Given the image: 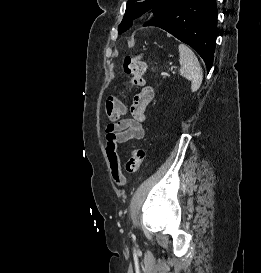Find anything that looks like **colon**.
Masks as SVG:
<instances>
[{
  "label": "colon",
  "mask_w": 261,
  "mask_h": 273,
  "mask_svg": "<svg viewBox=\"0 0 261 273\" xmlns=\"http://www.w3.org/2000/svg\"><path fill=\"white\" fill-rule=\"evenodd\" d=\"M123 70L129 76L126 86L128 88L138 87L144 83V74L146 64L141 55L127 56L123 61ZM125 113L124 104L117 97H109L105 102V115L110 121H117ZM145 152L140 148L132 151L129 160L126 163L125 169L128 173H136L143 160ZM122 185V180L120 179Z\"/></svg>",
  "instance_id": "1"
}]
</instances>
